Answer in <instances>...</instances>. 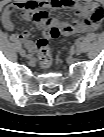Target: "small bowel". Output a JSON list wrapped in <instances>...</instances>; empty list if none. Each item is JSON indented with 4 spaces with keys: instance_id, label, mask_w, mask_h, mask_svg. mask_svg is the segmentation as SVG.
<instances>
[{
    "instance_id": "obj_1",
    "label": "small bowel",
    "mask_w": 104,
    "mask_h": 137,
    "mask_svg": "<svg viewBox=\"0 0 104 137\" xmlns=\"http://www.w3.org/2000/svg\"><path fill=\"white\" fill-rule=\"evenodd\" d=\"M40 8L49 10L69 9L78 17L84 18L71 24H62L58 20H52L51 23L58 26L60 32L65 36L95 30L100 26L103 18L102 8L92 0H27L8 4L2 13V25L8 31L13 30L14 22L12 17L17 11L22 12L25 20L34 22V13L41 10ZM39 26L41 29L44 27L43 25ZM17 37L29 49H33V43L29 40V31L24 30Z\"/></svg>"
}]
</instances>
